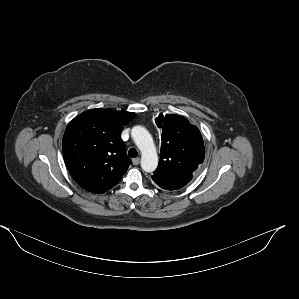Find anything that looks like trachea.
<instances>
[{"mask_svg": "<svg viewBox=\"0 0 299 299\" xmlns=\"http://www.w3.org/2000/svg\"><path fill=\"white\" fill-rule=\"evenodd\" d=\"M138 155V152L135 148H130L129 151H128V156L131 157V158H135L137 157Z\"/></svg>", "mask_w": 299, "mask_h": 299, "instance_id": "obj_1", "label": "trachea"}]
</instances>
